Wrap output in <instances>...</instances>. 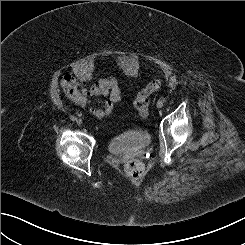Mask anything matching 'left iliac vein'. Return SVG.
<instances>
[{
    "mask_svg": "<svg viewBox=\"0 0 245 245\" xmlns=\"http://www.w3.org/2000/svg\"><path fill=\"white\" fill-rule=\"evenodd\" d=\"M162 106H163V103H161L160 101H158V102H157V107H158V108H162Z\"/></svg>",
    "mask_w": 245,
    "mask_h": 245,
    "instance_id": "left-iliac-vein-1",
    "label": "left iliac vein"
}]
</instances>
